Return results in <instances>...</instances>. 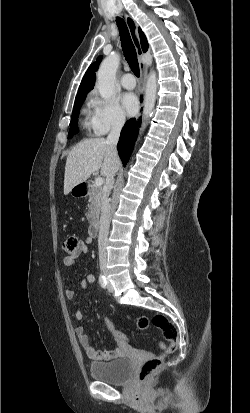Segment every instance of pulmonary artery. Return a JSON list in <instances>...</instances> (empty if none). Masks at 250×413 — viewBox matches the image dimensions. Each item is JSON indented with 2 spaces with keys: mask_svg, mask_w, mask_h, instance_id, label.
<instances>
[{
  "mask_svg": "<svg viewBox=\"0 0 250 413\" xmlns=\"http://www.w3.org/2000/svg\"><path fill=\"white\" fill-rule=\"evenodd\" d=\"M121 84L126 89H133L136 86V81L132 74L126 73L121 77Z\"/></svg>",
  "mask_w": 250,
  "mask_h": 413,
  "instance_id": "e3ab8cb5",
  "label": "pulmonary artery"
}]
</instances>
